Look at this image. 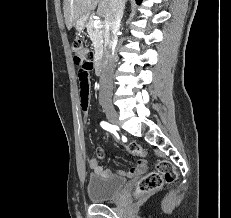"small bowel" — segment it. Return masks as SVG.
<instances>
[{"label": "small bowel", "mask_w": 231, "mask_h": 218, "mask_svg": "<svg viewBox=\"0 0 231 218\" xmlns=\"http://www.w3.org/2000/svg\"><path fill=\"white\" fill-rule=\"evenodd\" d=\"M93 60H88L87 63H82L81 66H78L76 69V74H78V79L80 83V103L84 111L87 110L89 95H90V82L89 74L93 69ZM97 155L99 158L103 156L102 147H97ZM88 166L98 175L108 176L111 174L110 170L104 169L96 158H91L88 161ZM147 168V163L144 159H139L135 167L131 168L128 171L120 170L118 175L125 177H135L145 172Z\"/></svg>", "instance_id": "small-bowel-1"}]
</instances>
